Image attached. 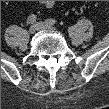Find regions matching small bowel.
I'll return each instance as SVG.
<instances>
[{"instance_id":"1","label":"small bowel","mask_w":109,"mask_h":109,"mask_svg":"<svg viewBox=\"0 0 109 109\" xmlns=\"http://www.w3.org/2000/svg\"><path fill=\"white\" fill-rule=\"evenodd\" d=\"M42 3L47 8H52L54 6V4H55L54 1H43Z\"/></svg>"}]
</instances>
